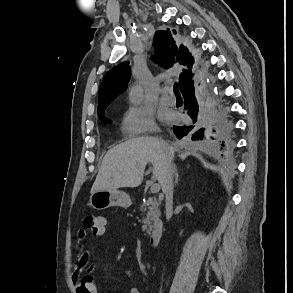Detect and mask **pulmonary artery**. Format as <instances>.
<instances>
[{
    "mask_svg": "<svg viewBox=\"0 0 293 293\" xmlns=\"http://www.w3.org/2000/svg\"><path fill=\"white\" fill-rule=\"evenodd\" d=\"M160 101L163 104H173L175 102V97L173 95L172 89L170 87H165L162 90Z\"/></svg>",
    "mask_w": 293,
    "mask_h": 293,
    "instance_id": "obj_1",
    "label": "pulmonary artery"
}]
</instances>
